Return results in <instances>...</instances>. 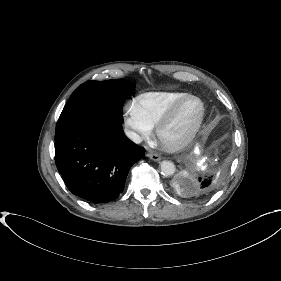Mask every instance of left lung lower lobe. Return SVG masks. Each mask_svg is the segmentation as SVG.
I'll use <instances>...</instances> for the list:
<instances>
[{
	"instance_id": "obj_1",
	"label": "left lung lower lobe",
	"mask_w": 281,
	"mask_h": 281,
	"mask_svg": "<svg viewBox=\"0 0 281 281\" xmlns=\"http://www.w3.org/2000/svg\"><path fill=\"white\" fill-rule=\"evenodd\" d=\"M199 182L201 183L200 184V189H198V194H205V193H208L209 191H211L214 186H215V183L212 182L211 178L209 179H205L202 181V178L199 177Z\"/></svg>"
}]
</instances>
